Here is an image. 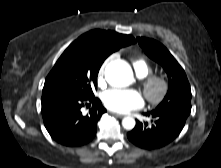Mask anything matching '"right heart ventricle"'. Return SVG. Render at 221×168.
<instances>
[{
  "label": "right heart ventricle",
  "mask_w": 221,
  "mask_h": 168,
  "mask_svg": "<svg viewBox=\"0 0 221 168\" xmlns=\"http://www.w3.org/2000/svg\"><path fill=\"white\" fill-rule=\"evenodd\" d=\"M132 64L135 73L139 78H144L148 76L152 71V67L150 66V64L143 58L133 59Z\"/></svg>",
  "instance_id": "obj_1"
}]
</instances>
